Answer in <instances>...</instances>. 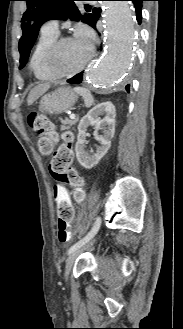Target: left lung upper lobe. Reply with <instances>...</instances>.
<instances>
[{"label":"left lung upper lobe","mask_w":183,"mask_h":329,"mask_svg":"<svg viewBox=\"0 0 183 329\" xmlns=\"http://www.w3.org/2000/svg\"><path fill=\"white\" fill-rule=\"evenodd\" d=\"M27 3V10L22 17L21 28L23 35L19 41L20 69H22L29 57L30 50L36 41L40 26L51 19L66 20L70 18L75 21H82L90 26L95 22L92 13L81 15L75 1L77 0H24Z\"/></svg>","instance_id":"obj_1"}]
</instances>
